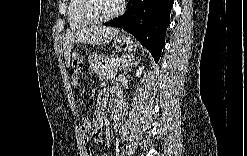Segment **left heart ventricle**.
I'll return each mask as SVG.
<instances>
[{"mask_svg": "<svg viewBox=\"0 0 247 156\" xmlns=\"http://www.w3.org/2000/svg\"><path fill=\"white\" fill-rule=\"evenodd\" d=\"M117 4L118 1L113 0L93 1L90 4V13L95 17L107 16L114 12Z\"/></svg>", "mask_w": 247, "mask_h": 156, "instance_id": "1", "label": "left heart ventricle"}]
</instances>
